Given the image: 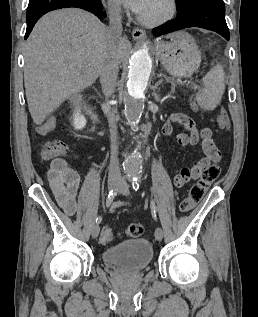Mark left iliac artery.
I'll return each instance as SVG.
<instances>
[{"instance_id":"left-iliac-artery-1","label":"left iliac artery","mask_w":258,"mask_h":317,"mask_svg":"<svg viewBox=\"0 0 258 317\" xmlns=\"http://www.w3.org/2000/svg\"><path fill=\"white\" fill-rule=\"evenodd\" d=\"M131 183H132V188L134 191H138L139 189V178L138 177H133L131 179ZM151 215L153 217V219L157 222V208L155 205L154 200L151 201Z\"/></svg>"}]
</instances>
